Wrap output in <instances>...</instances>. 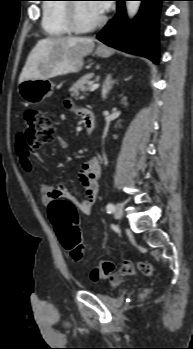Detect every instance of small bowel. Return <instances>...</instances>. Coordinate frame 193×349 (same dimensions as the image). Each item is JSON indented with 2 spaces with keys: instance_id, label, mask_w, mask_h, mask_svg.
<instances>
[{
  "instance_id": "c3829d8e",
  "label": "small bowel",
  "mask_w": 193,
  "mask_h": 349,
  "mask_svg": "<svg viewBox=\"0 0 193 349\" xmlns=\"http://www.w3.org/2000/svg\"><path fill=\"white\" fill-rule=\"evenodd\" d=\"M67 108H71L69 102L66 103ZM57 143L62 149L68 148V143L65 139L58 137ZM16 153L19 157L20 164L24 171L32 173L34 170L33 162L31 160L30 151L27 148L24 136L19 133L16 140ZM101 174V165L97 157H93L84 163L79 178L84 188L85 199L78 201L69 191L66 185L58 184L56 187H43V203L49 205L52 201L57 199H66L72 201L77 205L80 211L86 215L91 216L94 210V204L98 194V180ZM135 268L131 260H124L121 267L110 276V281L113 284L119 283L123 278L133 275Z\"/></svg>"
}]
</instances>
